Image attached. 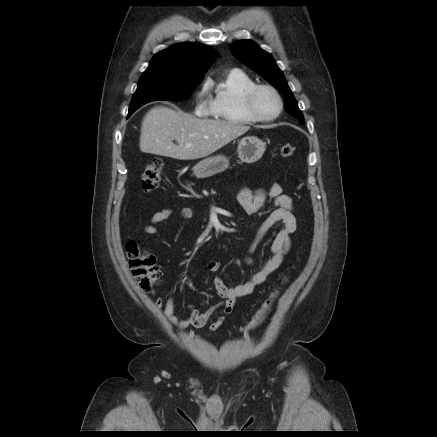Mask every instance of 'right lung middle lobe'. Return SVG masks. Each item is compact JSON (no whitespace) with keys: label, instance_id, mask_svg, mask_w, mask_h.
I'll return each instance as SVG.
<instances>
[{"label":"right lung middle lobe","instance_id":"dd1d6c3e","mask_svg":"<svg viewBox=\"0 0 437 437\" xmlns=\"http://www.w3.org/2000/svg\"><path fill=\"white\" fill-rule=\"evenodd\" d=\"M202 80L184 79L163 71L144 72L131 100L128 117L151 101L185 100Z\"/></svg>","mask_w":437,"mask_h":437}]
</instances>
